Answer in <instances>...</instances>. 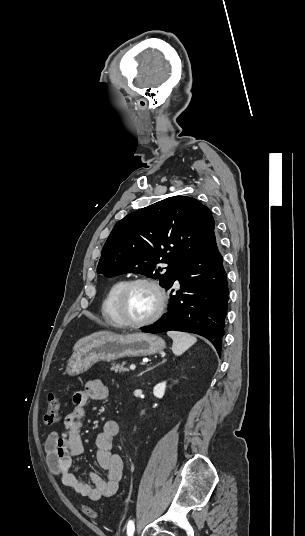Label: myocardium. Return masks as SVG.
Returning <instances> with one entry per match:
<instances>
[{"label": "myocardium", "instance_id": "myocardium-1", "mask_svg": "<svg viewBox=\"0 0 305 536\" xmlns=\"http://www.w3.org/2000/svg\"><path fill=\"white\" fill-rule=\"evenodd\" d=\"M137 284H147L156 291L158 295V307L152 314H150L145 319L131 322V321L126 320L125 318L124 300L128 291ZM166 306H167V298H166L163 287L156 279L147 277V276L135 277L126 281L125 284L121 287L116 298V311H117L119 318L121 319V322H122L121 325L126 328H140V327H144L154 322L163 314Z\"/></svg>", "mask_w": 305, "mask_h": 536}]
</instances>
